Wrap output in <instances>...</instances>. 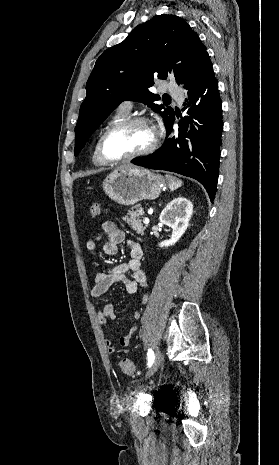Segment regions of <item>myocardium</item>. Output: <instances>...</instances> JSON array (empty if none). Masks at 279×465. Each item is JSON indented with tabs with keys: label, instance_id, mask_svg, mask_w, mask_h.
I'll list each match as a JSON object with an SVG mask.
<instances>
[{
	"label": "myocardium",
	"instance_id": "myocardium-1",
	"mask_svg": "<svg viewBox=\"0 0 279 465\" xmlns=\"http://www.w3.org/2000/svg\"><path fill=\"white\" fill-rule=\"evenodd\" d=\"M134 124H145V125L150 126L153 129V137H152L151 143L145 149H143L141 151H138V152H135V153H132L130 155H126V156L121 157V158L113 159V158L108 157L106 155V153H105V150H104L105 143H106L108 137L112 133H114L115 131H117L119 129H122V128H126V127L134 125ZM158 143H159V134H158L157 129L155 128V126L151 122V120H149L148 118H146L144 116H133V117H127V118H125V119L111 125L110 127H108L103 132V134L101 135V137L99 139L97 151H98L99 158L101 159V161L103 163L113 165V164H119V163L131 161V160H134V159H137V158H140V157L147 156V155H149V154H151L152 152L155 151V149L158 146Z\"/></svg>",
	"mask_w": 279,
	"mask_h": 465
}]
</instances>
